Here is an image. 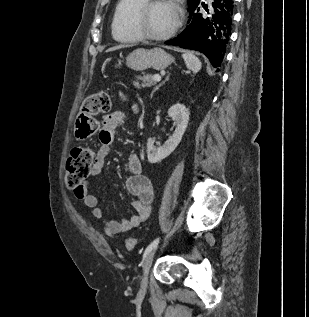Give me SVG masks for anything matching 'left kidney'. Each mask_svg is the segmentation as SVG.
Wrapping results in <instances>:
<instances>
[{"label":"left kidney","mask_w":309,"mask_h":317,"mask_svg":"<svg viewBox=\"0 0 309 317\" xmlns=\"http://www.w3.org/2000/svg\"><path fill=\"white\" fill-rule=\"evenodd\" d=\"M168 115L176 125L175 131L169 139L159 147L149 138L147 142V158L150 163H157L169 156L181 142L189 122V111L185 105L177 103L169 108Z\"/></svg>","instance_id":"obj_1"}]
</instances>
